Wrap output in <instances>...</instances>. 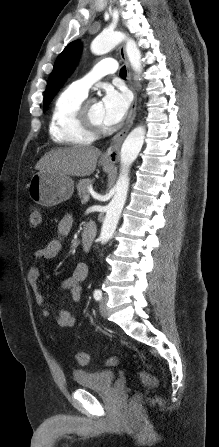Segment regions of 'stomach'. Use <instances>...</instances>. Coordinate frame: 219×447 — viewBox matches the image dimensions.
<instances>
[{"label":"stomach","instance_id":"0dacf381","mask_svg":"<svg viewBox=\"0 0 219 447\" xmlns=\"http://www.w3.org/2000/svg\"><path fill=\"white\" fill-rule=\"evenodd\" d=\"M105 172L111 171L113 165L101 160ZM30 198L44 207H53L68 200L74 192V181L67 175L42 170L30 179L28 184Z\"/></svg>","mask_w":219,"mask_h":447}]
</instances>
